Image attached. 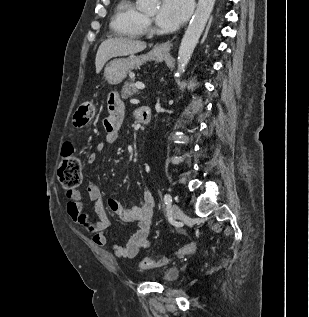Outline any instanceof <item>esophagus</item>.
<instances>
[{"label": "esophagus", "mask_w": 309, "mask_h": 317, "mask_svg": "<svg viewBox=\"0 0 309 317\" xmlns=\"http://www.w3.org/2000/svg\"><path fill=\"white\" fill-rule=\"evenodd\" d=\"M171 46H172V41H167V42L158 44L156 46V50L163 53H168L170 51Z\"/></svg>", "instance_id": "1"}]
</instances>
